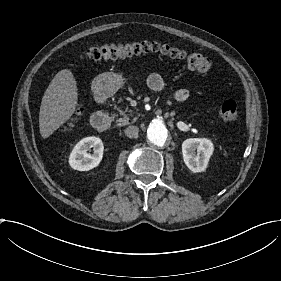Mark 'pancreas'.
I'll return each instance as SVG.
<instances>
[{
	"label": "pancreas",
	"mask_w": 281,
	"mask_h": 281,
	"mask_svg": "<svg viewBox=\"0 0 281 281\" xmlns=\"http://www.w3.org/2000/svg\"><path fill=\"white\" fill-rule=\"evenodd\" d=\"M117 110L120 112L121 115H123V118H118L116 120V125L117 126H124L128 124V122L131 120L132 122H135L137 120V117H133L135 112L132 109H129L130 113H125L124 111L121 110L120 107L117 108Z\"/></svg>",
	"instance_id": "obj_1"
}]
</instances>
